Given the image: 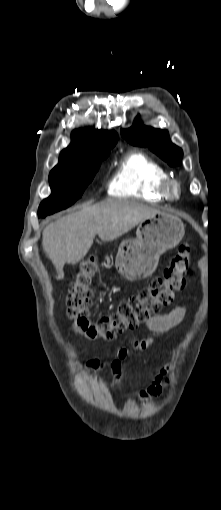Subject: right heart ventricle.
<instances>
[{"mask_svg": "<svg viewBox=\"0 0 221 510\" xmlns=\"http://www.w3.org/2000/svg\"><path fill=\"white\" fill-rule=\"evenodd\" d=\"M164 167L140 151L124 156L115 170L108 188L113 197L136 198L151 203H160L165 197L159 190L168 178Z\"/></svg>", "mask_w": 221, "mask_h": 510, "instance_id": "right-heart-ventricle-1", "label": "right heart ventricle"}]
</instances>
